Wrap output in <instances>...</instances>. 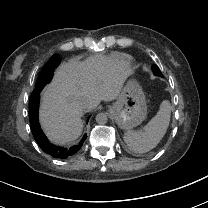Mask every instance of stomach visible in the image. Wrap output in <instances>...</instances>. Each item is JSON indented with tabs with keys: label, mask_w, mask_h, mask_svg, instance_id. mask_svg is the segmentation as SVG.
<instances>
[{
	"label": "stomach",
	"mask_w": 208,
	"mask_h": 208,
	"mask_svg": "<svg viewBox=\"0 0 208 208\" xmlns=\"http://www.w3.org/2000/svg\"><path fill=\"white\" fill-rule=\"evenodd\" d=\"M108 112L124 131L129 132L140 125L147 115L142 89L134 82L129 83Z\"/></svg>",
	"instance_id": "obj_1"
}]
</instances>
